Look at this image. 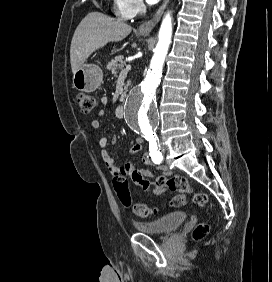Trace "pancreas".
Instances as JSON below:
<instances>
[{"label": "pancreas", "instance_id": "cf45deb5", "mask_svg": "<svg viewBox=\"0 0 272 282\" xmlns=\"http://www.w3.org/2000/svg\"><path fill=\"white\" fill-rule=\"evenodd\" d=\"M125 66V60L123 55L116 56L114 59H112L110 62H108V65L106 67L107 70L111 71L112 74H117L119 70H122ZM129 82L125 86V90H127L129 86Z\"/></svg>", "mask_w": 272, "mask_h": 282}]
</instances>
